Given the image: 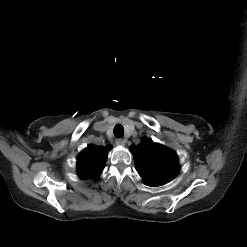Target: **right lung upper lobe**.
Returning a JSON list of instances; mask_svg holds the SVG:
<instances>
[{
    "instance_id": "cb5924a9",
    "label": "right lung upper lobe",
    "mask_w": 247,
    "mask_h": 247,
    "mask_svg": "<svg viewBox=\"0 0 247 247\" xmlns=\"http://www.w3.org/2000/svg\"><path fill=\"white\" fill-rule=\"evenodd\" d=\"M110 148L94 145L85 148L77 158L79 177L83 180L98 177L104 168Z\"/></svg>"
}]
</instances>
